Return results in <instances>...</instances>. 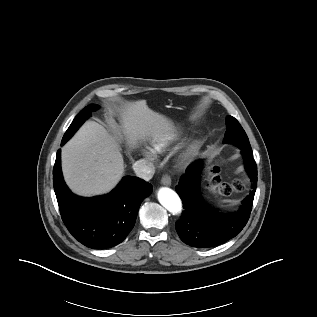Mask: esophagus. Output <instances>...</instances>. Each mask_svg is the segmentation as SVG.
<instances>
[{"instance_id": "obj_1", "label": "esophagus", "mask_w": 317, "mask_h": 317, "mask_svg": "<svg viewBox=\"0 0 317 317\" xmlns=\"http://www.w3.org/2000/svg\"><path fill=\"white\" fill-rule=\"evenodd\" d=\"M161 184L165 186H171V177L169 175H164L161 179Z\"/></svg>"}]
</instances>
